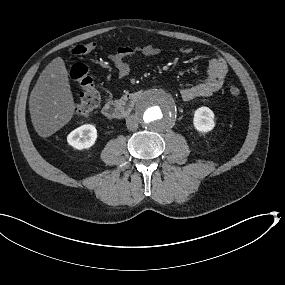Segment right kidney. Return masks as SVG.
<instances>
[{
  "label": "right kidney",
  "mask_w": 285,
  "mask_h": 285,
  "mask_svg": "<svg viewBox=\"0 0 285 285\" xmlns=\"http://www.w3.org/2000/svg\"><path fill=\"white\" fill-rule=\"evenodd\" d=\"M97 137L96 127L84 124L68 134L67 143L76 150H88L95 144Z\"/></svg>",
  "instance_id": "obj_1"
}]
</instances>
